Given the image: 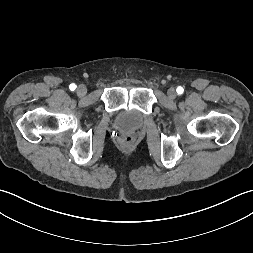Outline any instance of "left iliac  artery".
<instances>
[{"label": "left iliac artery", "instance_id": "1", "mask_svg": "<svg viewBox=\"0 0 253 253\" xmlns=\"http://www.w3.org/2000/svg\"><path fill=\"white\" fill-rule=\"evenodd\" d=\"M176 91L180 95L184 92V89L181 86H179V87H177Z\"/></svg>", "mask_w": 253, "mask_h": 253}]
</instances>
